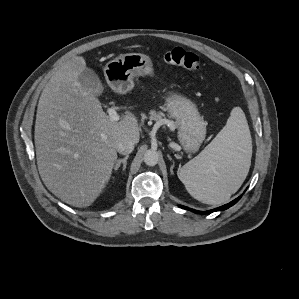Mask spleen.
Returning <instances> with one entry per match:
<instances>
[{
  "label": "spleen",
  "mask_w": 299,
  "mask_h": 299,
  "mask_svg": "<svg viewBox=\"0 0 299 299\" xmlns=\"http://www.w3.org/2000/svg\"><path fill=\"white\" fill-rule=\"evenodd\" d=\"M251 156L252 140L245 114L240 107H234L223 129L180 169L178 177L195 199L221 204L241 187Z\"/></svg>",
  "instance_id": "spleen-1"
}]
</instances>
